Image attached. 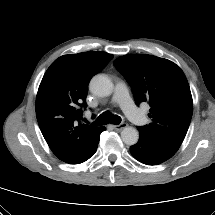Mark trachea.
<instances>
[{
  "label": "trachea",
  "instance_id": "3493384b",
  "mask_svg": "<svg viewBox=\"0 0 215 215\" xmlns=\"http://www.w3.org/2000/svg\"><path fill=\"white\" fill-rule=\"evenodd\" d=\"M121 122V118L117 115L110 113L109 111L103 112L94 123L97 126L106 125V124H115L118 125Z\"/></svg>",
  "mask_w": 215,
  "mask_h": 215
}]
</instances>
